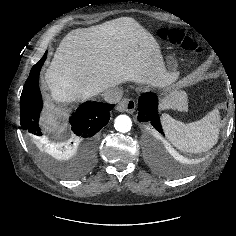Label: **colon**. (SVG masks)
<instances>
[{"instance_id": "5ec220e1", "label": "colon", "mask_w": 236, "mask_h": 236, "mask_svg": "<svg viewBox=\"0 0 236 236\" xmlns=\"http://www.w3.org/2000/svg\"><path fill=\"white\" fill-rule=\"evenodd\" d=\"M160 36L167 39L170 43L180 46L185 50L193 53H201L203 51L200 43L190 34L177 29L162 30Z\"/></svg>"}]
</instances>
